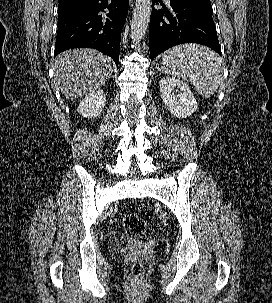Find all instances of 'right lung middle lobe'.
<instances>
[{
	"label": "right lung middle lobe",
	"instance_id": "1",
	"mask_svg": "<svg viewBox=\"0 0 272 303\" xmlns=\"http://www.w3.org/2000/svg\"><path fill=\"white\" fill-rule=\"evenodd\" d=\"M63 10H66V9H58V11H63Z\"/></svg>",
	"mask_w": 272,
	"mask_h": 303
}]
</instances>
